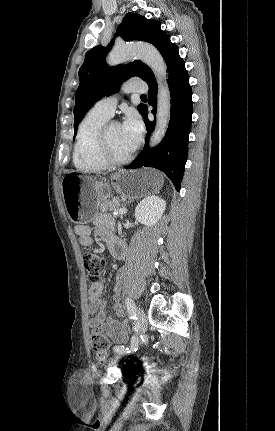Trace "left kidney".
Wrapping results in <instances>:
<instances>
[{"label": "left kidney", "mask_w": 275, "mask_h": 431, "mask_svg": "<svg viewBox=\"0 0 275 431\" xmlns=\"http://www.w3.org/2000/svg\"><path fill=\"white\" fill-rule=\"evenodd\" d=\"M166 202L158 196L144 198L135 209V218L138 222L150 227L155 225L162 217Z\"/></svg>", "instance_id": "left-kidney-1"}]
</instances>
